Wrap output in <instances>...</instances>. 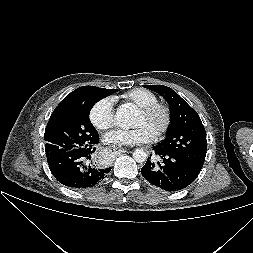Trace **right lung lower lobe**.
Wrapping results in <instances>:
<instances>
[{"instance_id": "98d812e1", "label": "right lung lower lobe", "mask_w": 253, "mask_h": 253, "mask_svg": "<svg viewBox=\"0 0 253 253\" xmlns=\"http://www.w3.org/2000/svg\"><path fill=\"white\" fill-rule=\"evenodd\" d=\"M99 135L86 148H78L58 156H47L54 177L63 185L74 189L89 188L101 182L110 172L96 162L95 150Z\"/></svg>"}]
</instances>
